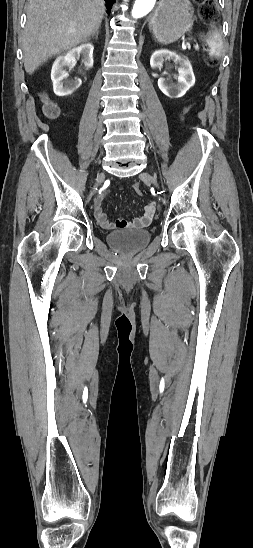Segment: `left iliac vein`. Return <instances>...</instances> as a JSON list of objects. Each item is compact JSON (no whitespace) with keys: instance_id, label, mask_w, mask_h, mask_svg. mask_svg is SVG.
<instances>
[{"instance_id":"4c4485c4","label":"left iliac vein","mask_w":253,"mask_h":548,"mask_svg":"<svg viewBox=\"0 0 253 548\" xmlns=\"http://www.w3.org/2000/svg\"><path fill=\"white\" fill-rule=\"evenodd\" d=\"M141 178L144 179V180H147L149 181L150 183H152L154 186L158 187V182H157V179L156 177L148 174V173H142L141 174Z\"/></svg>"}]
</instances>
